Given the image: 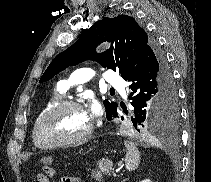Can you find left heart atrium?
<instances>
[{"mask_svg":"<svg viewBox=\"0 0 211 182\" xmlns=\"http://www.w3.org/2000/svg\"><path fill=\"white\" fill-rule=\"evenodd\" d=\"M99 111H100L99 105L96 102H92L90 108L88 109V111H86V113L89 116V118L92 119L99 114Z\"/></svg>","mask_w":211,"mask_h":182,"instance_id":"1","label":"left heart atrium"}]
</instances>
